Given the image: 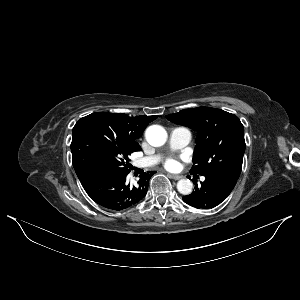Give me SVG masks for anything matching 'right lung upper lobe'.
Listing matches in <instances>:
<instances>
[{
	"instance_id": "right-lung-upper-lobe-1",
	"label": "right lung upper lobe",
	"mask_w": 300,
	"mask_h": 300,
	"mask_svg": "<svg viewBox=\"0 0 300 300\" xmlns=\"http://www.w3.org/2000/svg\"><path fill=\"white\" fill-rule=\"evenodd\" d=\"M97 114L107 125L110 131H112L115 135L123 138L136 151L141 150L136 140L140 138L147 125L157 118V116L146 115L129 117L126 114H113L103 112H99Z\"/></svg>"
}]
</instances>
